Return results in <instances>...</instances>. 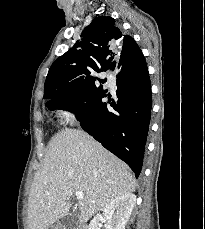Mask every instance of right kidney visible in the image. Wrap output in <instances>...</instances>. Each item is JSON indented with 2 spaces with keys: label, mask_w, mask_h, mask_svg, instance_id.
<instances>
[{
  "label": "right kidney",
  "mask_w": 205,
  "mask_h": 229,
  "mask_svg": "<svg viewBox=\"0 0 205 229\" xmlns=\"http://www.w3.org/2000/svg\"><path fill=\"white\" fill-rule=\"evenodd\" d=\"M135 203L136 196L132 193L115 198L103 208L102 215L90 222L88 229H100L102 221H107L106 229H125Z\"/></svg>",
  "instance_id": "ca27d5eb"
}]
</instances>
